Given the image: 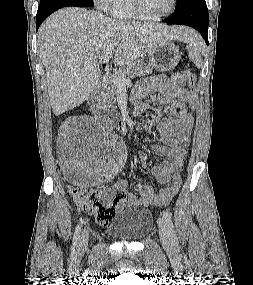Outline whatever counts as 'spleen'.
<instances>
[{"instance_id": "1", "label": "spleen", "mask_w": 253, "mask_h": 285, "mask_svg": "<svg viewBox=\"0 0 253 285\" xmlns=\"http://www.w3.org/2000/svg\"><path fill=\"white\" fill-rule=\"evenodd\" d=\"M186 42L189 58L197 68H202L203 63L200 52L203 47V43L201 42V39L193 32L186 38Z\"/></svg>"}]
</instances>
